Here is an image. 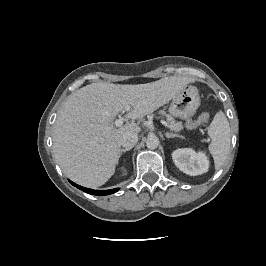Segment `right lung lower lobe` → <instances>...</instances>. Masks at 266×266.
<instances>
[{
    "label": "right lung lower lobe",
    "mask_w": 266,
    "mask_h": 266,
    "mask_svg": "<svg viewBox=\"0 0 266 266\" xmlns=\"http://www.w3.org/2000/svg\"><path fill=\"white\" fill-rule=\"evenodd\" d=\"M73 186L77 187L78 189L86 192V193H89V194H92V195H108V194H112V193H115L116 191L119 190V188H115V189H110V190H93V189H88V188H85V187H82L80 185H77L75 184L74 182L72 181H69Z\"/></svg>",
    "instance_id": "1"
}]
</instances>
